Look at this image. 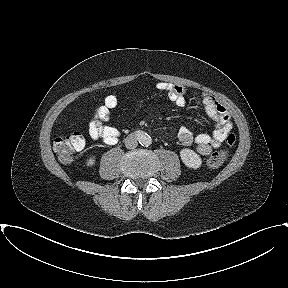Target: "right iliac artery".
I'll return each instance as SVG.
<instances>
[{
    "label": "right iliac artery",
    "mask_w": 288,
    "mask_h": 288,
    "mask_svg": "<svg viewBox=\"0 0 288 288\" xmlns=\"http://www.w3.org/2000/svg\"><path fill=\"white\" fill-rule=\"evenodd\" d=\"M136 133H137V135H138L139 137L142 135V132H141V131H137Z\"/></svg>",
    "instance_id": "1"
}]
</instances>
